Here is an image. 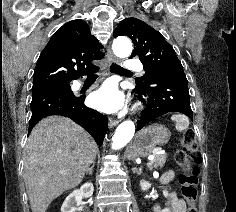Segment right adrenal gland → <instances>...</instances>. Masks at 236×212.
Masks as SVG:
<instances>
[{
    "mask_svg": "<svg viewBox=\"0 0 236 212\" xmlns=\"http://www.w3.org/2000/svg\"><path fill=\"white\" fill-rule=\"evenodd\" d=\"M94 168V162L91 164V167L87 169L86 175H92Z\"/></svg>",
    "mask_w": 236,
    "mask_h": 212,
    "instance_id": "1",
    "label": "right adrenal gland"
}]
</instances>
